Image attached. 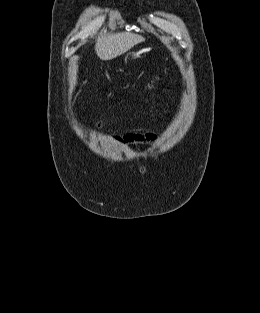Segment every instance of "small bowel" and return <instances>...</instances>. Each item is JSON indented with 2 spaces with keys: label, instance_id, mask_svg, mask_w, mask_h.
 Segmentation results:
<instances>
[{
  "label": "small bowel",
  "instance_id": "small-bowel-1",
  "mask_svg": "<svg viewBox=\"0 0 260 313\" xmlns=\"http://www.w3.org/2000/svg\"><path fill=\"white\" fill-rule=\"evenodd\" d=\"M98 127L100 124L98 123ZM111 140L120 146H138L148 147L156 143V135L152 132L145 133H125L122 135H113Z\"/></svg>",
  "mask_w": 260,
  "mask_h": 313
}]
</instances>
